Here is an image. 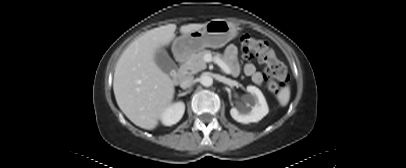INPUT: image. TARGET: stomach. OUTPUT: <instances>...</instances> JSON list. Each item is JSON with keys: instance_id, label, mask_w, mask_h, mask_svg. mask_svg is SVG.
<instances>
[{"instance_id": "1", "label": "stomach", "mask_w": 406, "mask_h": 168, "mask_svg": "<svg viewBox=\"0 0 406 168\" xmlns=\"http://www.w3.org/2000/svg\"><path fill=\"white\" fill-rule=\"evenodd\" d=\"M237 26L224 19H214L205 24L202 30L193 31L177 38L172 46L176 57H186L206 47L220 48L236 37Z\"/></svg>"}]
</instances>
